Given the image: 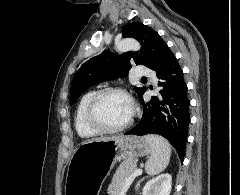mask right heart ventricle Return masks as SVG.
Masks as SVG:
<instances>
[{"label":"right heart ventricle","instance_id":"obj_1","mask_svg":"<svg viewBox=\"0 0 240 195\" xmlns=\"http://www.w3.org/2000/svg\"><path fill=\"white\" fill-rule=\"evenodd\" d=\"M95 94H96V91H89L85 93L81 97L76 109V114H75L76 130L81 137L86 139L93 138L100 134L98 131L93 129L88 124L86 119V109H87L88 103Z\"/></svg>","mask_w":240,"mask_h":195}]
</instances>
